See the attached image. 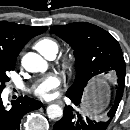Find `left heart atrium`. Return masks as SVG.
<instances>
[{
  "label": "left heart atrium",
  "instance_id": "obj_1",
  "mask_svg": "<svg viewBox=\"0 0 130 130\" xmlns=\"http://www.w3.org/2000/svg\"><path fill=\"white\" fill-rule=\"evenodd\" d=\"M60 83L61 80L57 74H49L35 84L33 92L35 95L47 99L53 96L54 90Z\"/></svg>",
  "mask_w": 130,
  "mask_h": 130
}]
</instances>
